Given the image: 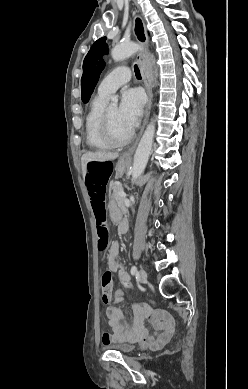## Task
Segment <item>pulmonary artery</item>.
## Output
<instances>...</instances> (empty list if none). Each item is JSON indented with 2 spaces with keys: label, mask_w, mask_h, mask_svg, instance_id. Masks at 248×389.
<instances>
[{
  "label": "pulmonary artery",
  "mask_w": 248,
  "mask_h": 389,
  "mask_svg": "<svg viewBox=\"0 0 248 389\" xmlns=\"http://www.w3.org/2000/svg\"><path fill=\"white\" fill-rule=\"evenodd\" d=\"M132 72L127 66H120L106 75L99 84L98 93L108 97L130 80Z\"/></svg>",
  "instance_id": "e3ab8cb5"
}]
</instances>
